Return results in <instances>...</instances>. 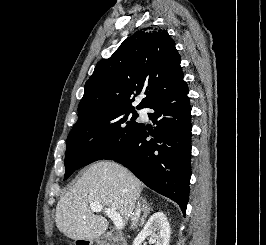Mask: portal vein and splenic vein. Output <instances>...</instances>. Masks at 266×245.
<instances>
[{"mask_svg":"<svg viewBox=\"0 0 266 245\" xmlns=\"http://www.w3.org/2000/svg\"><path fill=\"white\" fill-rule=\"evenodd\" d=\"M91 207V211H93V213H100V211H105L106 215H108L109 219H111V221H113L115 227H117V229H123L124 225H123V219L122 217H120V215H118L117 211H115V209H104V207H102V205H100V203H91L90 205Z\"/></svg>","mask_w":266,"mask_h":245,"instance_id":"obj_1","label":"portal vein and splenic vein"}]
</instances>
